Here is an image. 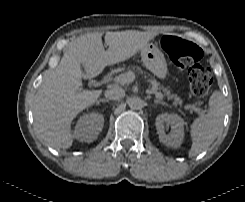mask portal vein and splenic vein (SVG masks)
Here are the masks:
<instances>
[{
  "mask_svg": "<svg viewBox=\"0 0 245 202\" xmlns=\"http://www.w3.org/2000/svg\"><path fill=\"white\" fill-rule=\"evenodd\" d=\"M135 80V74L132 71H127L123 74H120L114 78V82L119 83L121 85L129 84ZM156 98L162 99L163 94L161 92H157L154 90ZM200 114H204L203 110H199Z\"/></svg>",
  "mask_w": 245,
  "mask_h": 202,
  "instance_id": "portal-vein-and-splenic-vein-1",
  "label": "portal vein and splenic vein"
}]
</instances>
